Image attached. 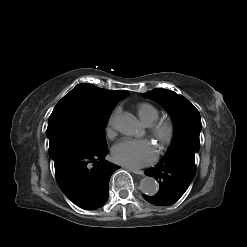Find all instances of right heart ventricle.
I'll return each mask as SVG.
<instances>
[{
  "mask_svg": "<svg viewBox=\"0 0 247 247\" xmlns=\"http://www.w3.org/2000/svg\"><path fill=\"white\" fill-rule=\"evenodd\" d=\"M137 114L145 125H150L159 117V109L151 103L143 102L137 105Z\"/></svg>",
  "mask_w": 247,
  "mask_h": 247,
  "instance_id": "right-heart-ventricle-1",
  "label": "right heart ventricle"
}]
</instances>
